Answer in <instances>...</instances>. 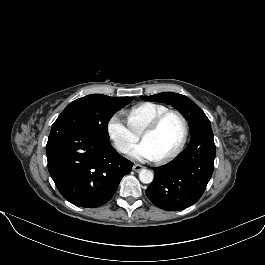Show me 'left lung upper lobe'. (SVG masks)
Returning a JSON list of instances; mask_svg holds the SVG:
<instances>
[{
    "label": "left lung upper lobe",
    "instance_id": "1",
    "mask_svg": "<svg viewBox=\"0 0 265 265\" xmlns=\"http://www.w3.org/2000/svg\"><path fill=\"white\" fill-rule=\"evenodd\" d=\"M141 98L145 101H156L172 105L188 121L191 134L203 127L211 126L209 119L201 108L184 95L173 92H164L151 96H141Z\"/></svg>",
    "mask_w": 265,
    "mask_h": 265
}]
</instances>
